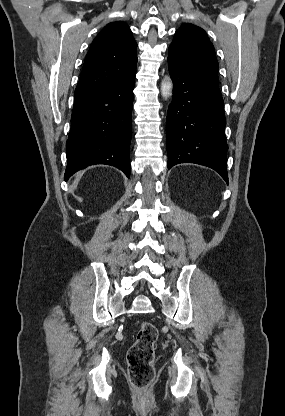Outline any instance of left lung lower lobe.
<instances>
[{
	"mask_svg": "<svg viewBox=\"0 0 285 416\" xmlns=\"http://www.w3.org/2000/svg\"><path fill=\"white\" fill-rule=\"evenodd\" d=\"M173 100L167 113L168 168L196 163L218 172L228 183L224 133L226 119L218 86L168 62Z\"/></svg>",
	"mask_w": 285,
	"mask_h": 416,
	"instance_id": "left-lung-lower-lobe-1",
	"label": "left lung lower lobe"
}]
</instances>
